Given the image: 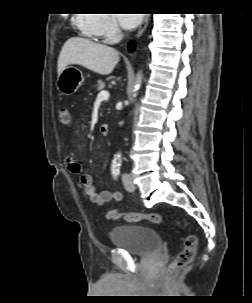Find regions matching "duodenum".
<instances>
[{"instance_id":"410a0bca","label":"duodenum","mask_w":252,"mask_h":303,"mask_svg":"<svg viewBox=\"0 0 252 303\" xmlns=\"http://www.w3.org/2000/svg\"><path fill=\"white\" fill-rule=\"evenodd\" d=\"M99 131L101 135H107L109 131V124H102Z\"/></svg>"}]
</instances>
